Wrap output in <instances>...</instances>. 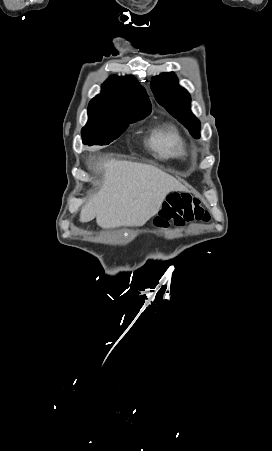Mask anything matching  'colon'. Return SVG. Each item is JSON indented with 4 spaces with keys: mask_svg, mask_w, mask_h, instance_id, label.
Returning a JSON list of instances; mask_svg holds the SVG:
<instances>
[{
    "mask_svg": "<svg viewBox=\"0 0 272 451\" xmlns=\"http://www.w3.org/2000/svg\"><path fill=\"white\" fill-rule=\"evenodd\" d=\"M210 213L202 207L201 200L187 193H173L162 206L160 215L155 219L157 226H166L172 220L175 225L190 222H208Z\"/></svg>",
    "mask_w": 272,
    "mask_h": 451,
    "instance_id": "1",
    "label": "colon"
}]
</instances>
